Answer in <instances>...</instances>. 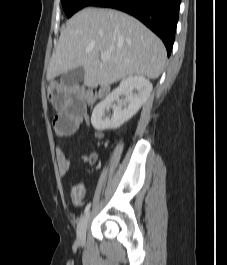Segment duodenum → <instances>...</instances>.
Masks as SVG:
<instances>
[{"label":"duodenum","mask_w":227,"mask_h":265,"mask_svg":"<svg viewBox=\"0 0 227 265\" xmlns=\"http://www.w3.org/2000/svg\"><path fill=\"white\" fill-rule=\"evenodd\" d=\"M109 91V85L105 84V85H102L99 90H98V95L100 97H103L105 96Z\"/></svg>","instance_id":"duodenum-1"}]
</instances>
